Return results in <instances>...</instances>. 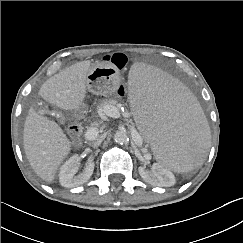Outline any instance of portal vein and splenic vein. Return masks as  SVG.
<instances>
[{"label": "portal vein and splenic vein", "mask_w": 243, "mask_h": 243, "mask_svg": "<svg viewBox=\"0 0 243 243\" xmlns=\"http://www.w3.org/2000/svg\"><path fill=\"white\" fill-rule=\"evenodd\" d=\"M106 115L113 117V118H120L121 114L120 112L114 108V107H107ZM97 130L95 128H89L87 132L85 133V137L87 139L93 138L97 134ZM135 134H138L137 131H135Z\"/></svg>", "instance_id": "obj_1"}]
</instances>
